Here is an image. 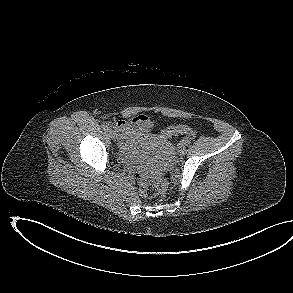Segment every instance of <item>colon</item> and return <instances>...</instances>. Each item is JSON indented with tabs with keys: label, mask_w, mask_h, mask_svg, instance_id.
<instances>
[{
	"label": "colon",
	"mask_w": 293,
	"mask_h": 293,
	"mask_svg": "<svg viewBox=\"0 0 293 293\" xmlns=\"http://www.w3.org/2000/svg\"><path fill=\"white\" fill-rule=\"evenodd\" d=\"M176 134H185L193 137L195 132L186 125L172 126L163 132V136L170 137ZM168 189V182L165 179L145 180L140 185V192L144 197L153 198L156 196H165Z\"/></svg>",
	"instance_id": "colon-1"
}]
</instances>
